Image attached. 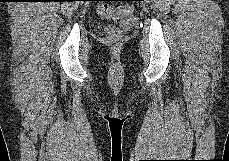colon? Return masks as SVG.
Instances as JSON below:
<instances>
[{"label":"colon","mask_w":229,"mask_h":161,"mask_svg":"<svg viewBox=\"0 0 229 161\" xmlns=\"http://www.w3.org/2000/svg\"><path fill=\"white\" fill-rule=\"evenodd\" d=\"M96 12L99 16L103 18H120L131 14L132 7L127 5H113L108 3H102L97 5ZM105 31L109 40L112 43H119L122 38V32L118 27L109 25L105 28Z\"/></svg>","instance_id":"obj_1"}]
</instances>
